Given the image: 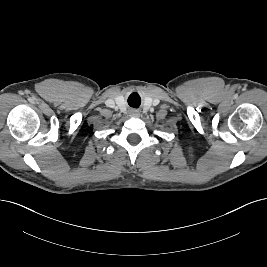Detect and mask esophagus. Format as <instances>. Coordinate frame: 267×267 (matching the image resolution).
<instances>
[{
  "instance_id": "34e87169",
  "label": "esophagus",
  "mask_w": 267,
  "mask_h": 267,
  "mask_svg": "<svg viewBox=\"0 0 267 267\" xmlns=\"http://www.w3.org/2000/svg\"><path fill=\"white\" fill-rule=\"evenodd\" d=\"M132 116H137V113L136 112H132Z\"/></svg>"
}]
</instances>
